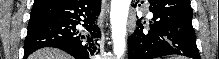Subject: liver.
Listing matches in <instances>:
<instances>
[{"label": "liver", "instance_id": "1", "mask_svg": "<svg viewBox=\"0 0 219 59\" xmlns=\"http://www.w3.org/2000/svg\"><path fill=\"white\" fill-rule=\"evenodd\" d=\"M28 59H72V57L55 48H43L32 53Z\"/></svg>", "mask_w": 219, "mask_h": 59}]
</instances>
